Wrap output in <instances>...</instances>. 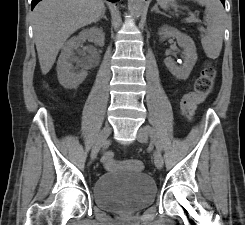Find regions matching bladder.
Wrapping results in <instances>:
<instances>
[{"label": "bladder", "mask_w": 245, "mask_h": 225, "mask_svg": "<svg viewBox=\"0 0 245 225\" xmlns=\"http://www.w3.org/2000/svg\"><path fill=\"white\" fill-rule=\"evenodd\" d=\"M156 184L144 172H105L93 184V201L102 210L116 214H132L152 205Z\"/></svg>", "instance_id": "31cf9c89"}]
</instances>
